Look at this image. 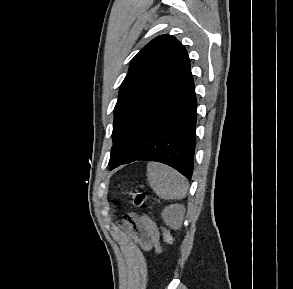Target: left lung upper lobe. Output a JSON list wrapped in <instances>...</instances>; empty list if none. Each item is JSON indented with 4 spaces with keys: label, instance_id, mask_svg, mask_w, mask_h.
I'll list each match as a JSON object with an SVG mask.
<instances>
[{
    "label": "left lung upper lobe",
    "instance_id": "5c2ea615",
    "mask_svg": "<svg viewBox=\"0 0 293 289\" xmlns=\"http://www.w3.org/2000/svg\"><path fill=\"white\" fill-rule=\"evenodd\" d=\"M189 69L190 60L185 47L171 35L154 38L131 60L114 108L111 170L124 164L128 158L117 144L132 123Z\"/></svg>",
    "mask_w": 293,
    "mask_h": 289
}]
</instances>
